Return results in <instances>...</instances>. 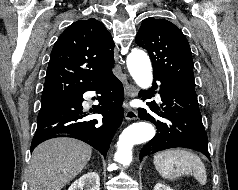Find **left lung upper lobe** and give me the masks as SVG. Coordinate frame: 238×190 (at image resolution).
<instances>
[{
    "instance_id": "left-lung-upper-lobe-1",
    "label": "left lung upper lobe",
    "mask_w": 238,
    "mask_h": 190,
    "mask_svg": "<svg viewBox=\"0 0 238 190\" xmlns=\"http://www.w3.org/2000/svg\"><path fill=\"white\" fill-rule=\"evenodd\" d=\"M136 44L148 51L154 76L195 86L189 43L173 23L153 17L144 19Z\"/></svg>"
}]
</instances>
